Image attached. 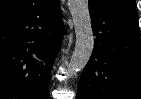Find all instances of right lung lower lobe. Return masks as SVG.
Here are the masks:
<instances>
[{
  "instance_id": "obj_1",
  "label": "right lung lower lobe",
  "mask_w": 141,
  "mask_h": 99,
  "mask_svg": "<svg viewBox=\"0 0 141 99\" xmlns=\"http://www.w3.org/2000/svg\"><path fill=\"white\" fill-rule=\"evenodd\" d=\"M62 35L59 0H30L0 15V99H49Z\"/></svg>"
}]
</instances>
